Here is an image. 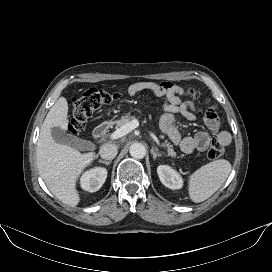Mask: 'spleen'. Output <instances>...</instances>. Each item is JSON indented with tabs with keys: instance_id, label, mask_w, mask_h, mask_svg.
<instances>
[{
	"instance_id": "obj_1",
	"label": "spleen",
	"mask_w": 272,
	"mask_h": 272,
	"mask_svg": "<svg viewBox=\"0 0 272 272\" xmlns=\"http://www.w3.org/2000/svg\"><path fill=\"white\" fill-rule=\"evenodd\" d=\"M231 172V164L225 159L210 162L189 176L188 192L194 203L211 197L226 181Z\"/></svg>"
}]
</instances>
